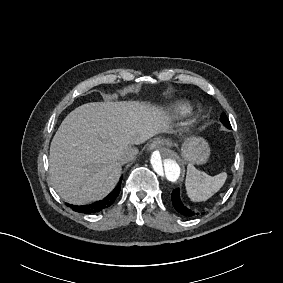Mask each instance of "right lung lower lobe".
I'll return each mask as SVG.
<instances>
[{
	"label": "right lung lower lobe",
	"instance_id": "98d812e1",
	"mask_svg": "<svg viewBox=\"0 0 283 283\" xmlns=\"http://www.w3.org/2000/svg\"><path fill=\"white\" fill-rule=\"evenodd\" d=\"M120 182L115 187V189L108 196H106L103 200L97 201L90 205H85V206L70 205V207L76 212H82L85 214H92V213L100 212L103 209L108 208L115 201L121 189Z\"/></svg>",
	"mask_w": 283,
	"mask_h": 283
}]
</instances>
